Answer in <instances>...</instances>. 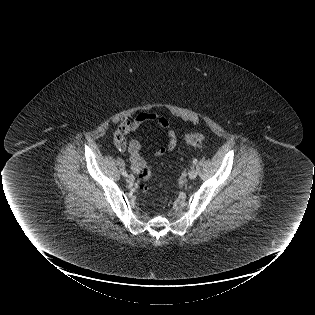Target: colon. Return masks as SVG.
Masks as SVG:
<instances>
[{
  "instance_id": "colon-1",
  "label": "colon",
  "mask_w": 315,
  "mask_h": 315,
  "mask_svg": "<svg viewBox=\"0 0 315 315\" xmlns=\"http://www.w3.org/2000/svg\"><path fill=\"white\" fill-rule=\"evenodd\" d=\"M204 140H205V136L203 134H199V133L191 134V135L187 136V138H186L187 144L193 145V146L201 144ZM114 142H115L116 147L119 149H123L125 147V139H124L123 133L121 131H119L115 134ZM141 175H142L143 179H145V180L149 179L151 176V168L145 167L142 170ZM142 191L144 193H147L148 187L143 186Z\"/></svg>"
}]
</instances>
